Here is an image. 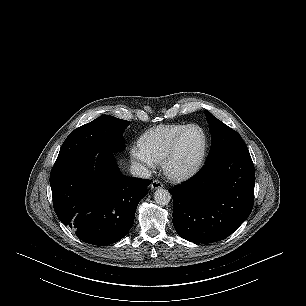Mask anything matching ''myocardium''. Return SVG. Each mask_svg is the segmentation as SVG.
<instances>
[{
    "instance_id": "myocardium-1",
    "label": "myocardium",
    "mask_w": 306,
    "mask_h": 306,
    "mask_svg": "<svg viewBox=\"0 0 306 306\" xmlns=\"http://www.w3.org/2000/svg\"><path fill=\"white\" fill-rule=\"evenodd\" d=\"M190 129H198L204 138V146L198 160L187 168H177L176 161L179 157L181 142ZM209 149V138L205 129L198 124H189L175 138L171 150L163 160V170L167 177L173 180H185L196 175L202 168Z\"/></svg>"
}]
</instances>
